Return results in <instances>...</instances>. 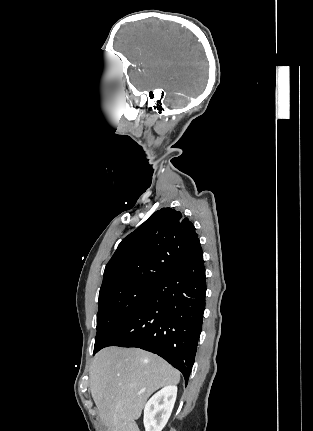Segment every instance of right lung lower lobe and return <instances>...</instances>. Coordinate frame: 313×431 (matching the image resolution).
I'll return each instance as SVG.
<instances>
[{"label": "right lung lower lobe", "instance_id": "obj_1", "mask_svg": "<svg viewBox=\"0 0 313 431\" xmlns=\"http://www.w3.org/2000/svg\"><path fill=\"white\" fill-rule=\"evenodd\" d=\"M205 295L203 252L198 240L101 349L137 347L155 353L177 368L187 385L201 333Z\"/></svg>", "mask_w": 313, "mask_h": 431}]
</instances>
